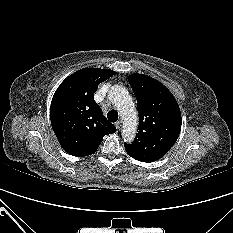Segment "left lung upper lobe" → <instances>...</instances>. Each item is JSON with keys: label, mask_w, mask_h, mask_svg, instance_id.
Segmentation results:
<instances>
[{"label": "left lung upper lobe", "mask_w": 233, "mask_h": 233, "mask_svg": "<svg viewBox=\"0 0 233 233\" xmlns=\"http://www.w3.org/2000/svg\"><path fill=\"white\" fill-rule=\"evenodd\" d=\"M128 81L137 99L139 126L133 143L124 146L132 158L153 162L175 144L182 123L180 108L172 93L158 80L131 74Z\"/></svg>", "instance_id": "left-lung-upper-lobe-1"}]
</instances>
